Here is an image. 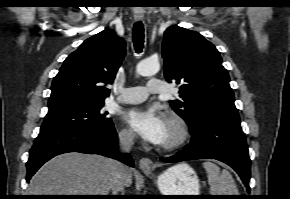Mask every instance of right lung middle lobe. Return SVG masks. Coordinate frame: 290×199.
Instances as JSON below:
<instances>
[{
  "label": "right lung middle lobe",
  "mask_w": 290,
  "mask_h": 199,
  "mask_svg": "<svg viewBox=\"0 0 290 199\" xmlns=\"http://www.w3.org/2000/svg\"><path fill=\"white\" fill-rule=\"evenodd\" d=\"M103 104L104 102L91 103L48 113L40 133L111 125L108 113L102 111Z\"/></svg>",
  "instance_id": "dd1d6c3e"
}]
</instances>
